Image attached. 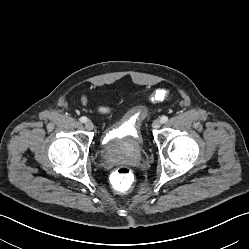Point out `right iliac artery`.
<instances>
[{"label":"right iliac artery","mask_w":249,"mask_h":249,"mask_svg":"<svg viewBox=\"0 0 249 249\" xmlns=\"http://www.w3.org/2000/svg\"><path fill=\"white\" fill-rule=\"evenodd\" d=\"M87 117H85V116H83V117H81L80 118V121L82 122V123H85V122H87Z\"/></svg>","instance_id":"1"}]
</instances>
